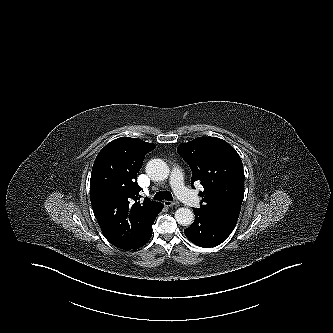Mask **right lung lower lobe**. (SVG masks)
<instances>
[{
    "mask_svg": "<svg viewBox=\"0 0 333 333\" xmlns=\"http://www.w3.org/2000/svg\"><path fill=\"white\" fill-rule=\"evenodd\" d=\"M151 235H152V225L151 227L148 229L146 235L141 239L140 243L134 248V250L142 247L143 245H145L149 239L151 238Z\"/></svg>",
    "mask_w": 333,
    "mask_h": 333,
    "instance_id": "98d812e1",
    "label": "right lung lower lobe"
}]
</instances>
